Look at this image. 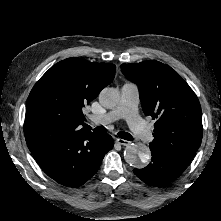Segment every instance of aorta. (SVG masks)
Listing matches in <instances>:
<instances>
[{
    "mask_svg": "<svg viewBox=\"0 0 221 221\" xmlns=\"http://www.w3.org/2000/svg\"><path fill=\"white\" fill-rule=\"evenodd\" d=\"M120 100L119 92L114 88H104L99 94L100 104L112 109L117 106ZM125 161L133 167L141 168L150 159V150L143 144H129L124 150Z\"/></svg>",
    "mask_w": 221,
    "mask_h": 221,
    "instance_id": "obj_1",
    "label": "aorta"
}]
</instances>
